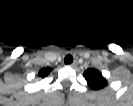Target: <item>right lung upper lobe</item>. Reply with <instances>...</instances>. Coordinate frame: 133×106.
Wrapping results in <instances>:
<instances>
[{
    "instance_id": "right-lung-upper-lobe-1",
    "label": "right lung upper lobe",
    "mask_w": 133,
    "mask_h": 106,
    "mask_svg": "<svg viewBox=\"0 0 133 106\" xmlns=\"http://www.w3.org/2000/svg\"><path fill=\"white\" fill-rule=\"evenodd\" d=\"M51 72V68L47 67V68H43L39 71V76L41 77H45L47 76L49 73Z\"/></svg>"
}]
</instances>
